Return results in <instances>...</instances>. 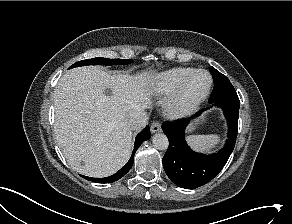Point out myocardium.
<instances>
[{"label": "myocardium", "mask_w": 292, "mask_h": 224, "mask_svg": "<svg viewBox=\"0 0 292 224\" xmlns=\"http://www.w3.org/2000/svg\"><path fill=\"white\" fill-rule=\"evenodd\" d=\"M206 73L209 76L210 82L206 89V91L200 96L194 99H187L185 96V92L188 84L192 80V78L199 74ZM213 87V76L212 74L205 69H196L188 76H186L183 81L179 84L177 89L172 93L165 104V110L168 116L172 118H180L183 117L192 111H194L200 104H202L206 98L209 96Z\"/></svg>", "instance_id": "obj_1"}]
</instances>
